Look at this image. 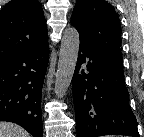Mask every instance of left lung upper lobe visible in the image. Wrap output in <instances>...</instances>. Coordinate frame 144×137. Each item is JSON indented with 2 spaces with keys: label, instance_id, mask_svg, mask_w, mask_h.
Segmentation results:
<instances>
[{
  "label": "left lung upper lobe",
  "instance_id": "1",
  "mask_svg": "<svg viewBox=\"0 0 144 137\" xmlns=\"http://www.w3.org/2000/svg\"><path fill=\"white\" fill-rule=\"evenodd\" d=\"M71 23L78 30L80 41L93 50L118 61L121 25L114 7L105 0H77Z\"/></svg>",
  "mask_w": 144,
  "mask_h": 137
}]
</instances>
